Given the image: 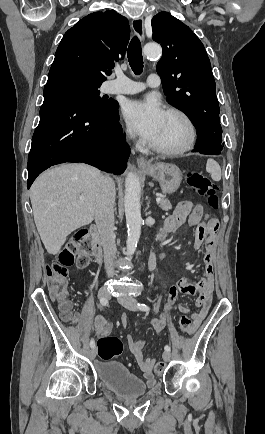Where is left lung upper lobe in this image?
<instances>
[{"instance_id": "1", "label": "left lung upper lobe", "mask_w": 265, "mask_h": 434, "mask_svg": "<svg viewBox=\"0 0 265 434\" xmlns=\"http://www.w3.org/2000/svg\"><path fill=\"white\" fill-rule=\"evenodd\" d=\"M151 24L152 38L163 49L157 73L168 103L190 118L198 137L222 143L216 85L204 45L168 12L158 13Z\"/></svg>"}]
</instances>
